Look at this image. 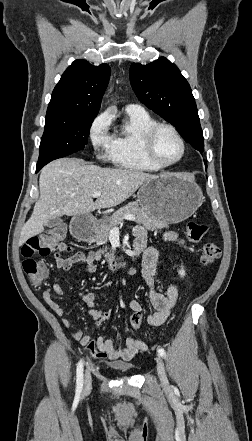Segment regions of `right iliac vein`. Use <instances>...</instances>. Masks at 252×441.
<instances>
[{"mask_svg": "<svg viewBox=\"0 0 252 441\" xmlns=\"http://www.w3.org/2000/svg\"><path fill=\"white\" fill-rule=\"evenodd\" d=\"M91 374L90 372L87 370L86 374H85V379H84V395L88 394L91 390Z\"/></svg>", "mask_w": 252, "mask_h": 441, "instance_id": "obj_1", "label": "right iliac vein"}]
</instances>
